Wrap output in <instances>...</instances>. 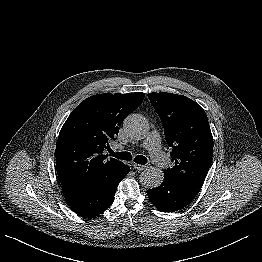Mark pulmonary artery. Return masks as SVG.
Wrapping results in <instances>:
<instances>
[{
    "label": "pulmonary artery",
    "mask_w": 262,
    "mask_h": 262,
    "mask_svg": "<svg viewBox=\"0 0 262 262\" xmlns=\"http://www.w3.org/2000/svg\"><path fill=\"white\" fill-rule=\"evenodd\" d=\"M143 147L149 150L151 158L156 163H160L161 160L165 159V155L160 149V136L157 131H152L145 142Z\"/></svg>",
    "instance_id": "pulmonary-artery-1"
}]
</instances>
